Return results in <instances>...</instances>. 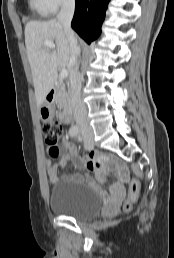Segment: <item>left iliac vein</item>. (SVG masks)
<instances>
[{
    "label": "left iliac vein",
    "mask_w": 174,
    "mask_h": 258,
    "mask_svg": "<svg viewBox=\"0 0 174 258\" xmlns=\"http://www.w3.org/2000/svg\"><path fill=\"white\" fill-rule=\"evenodd\" d=\"M84 147L87 150H91L94 147V140H93V135L92 133H89L85 138H84Z\"/></svg>",
    "instance_id": "obj_1"
}]
</instances>
